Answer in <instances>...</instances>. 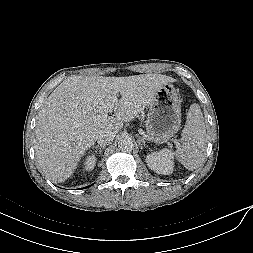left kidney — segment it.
<instances>
[{"mask_svg": "<svg viewBox=\"0 0 253 253\" xmlns=\"http://www.w3.org/2000/svg\"><path fill=\"white\" fill-rule=\"evenodd\" d=\"M148 167L158 174L169 175L173 172V153L168 149L154 152L146 157Z\"/></svg>", "mask_w": 253, "mask_h": 253, "instance_id": "left-kidney-1", "label": "left kidney"}]
</instances>
